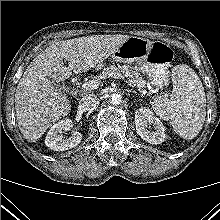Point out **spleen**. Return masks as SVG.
<instances>
[{
  "instance_id": "spleen-1",
  "label": "spleen",
  "mask_w": 220,
  "mask_h": 220,
  "mask_svg": "<svg viewBox=\"0 0 220 220\" xmlns=\"http://www.w3.org/2000/svg\"><path fill=\"white\" fill-rule=\"evenodd\" d=\"M172 73L171 97L156 98L153 107L160 117L170 119L174 131L182 138L193 139L205 121L204 87L197 74L187 65L175 66Z\"/></svg>"
}]
</instances>
